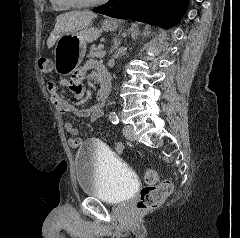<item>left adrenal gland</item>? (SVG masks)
Returning <instances> with one entry per match:
<instances>
[{"label": "left adrenal gland", "instance_id": "left-adrenal-gland-1", "mask_svg": "<svg viewBox=\"0 0 240 238\" xmlns=\"http://www.w3.org/2000/svg\"><path fill=\"white\" fill-rule=\"evenodd\" d=\"M119 44H120V40L118 41L117 38H114L113 39V46H112V50L111 51L116 50L118 48Z\"/></svg>", "mask_w": 240, "mask_h": 238}]
</instances>
